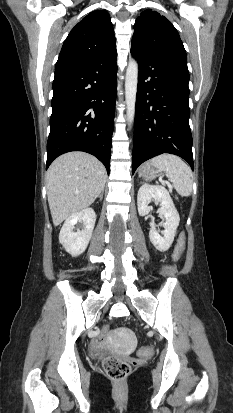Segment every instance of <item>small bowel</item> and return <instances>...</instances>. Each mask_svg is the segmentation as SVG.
I'll use <instances>...</instances> for the list:
<instances>
[{
    "instance_id": "small-bowel-1",
    "label": "small bowel",
    "mask_w": 233,
    "mask_h": 413,
    "mask_svg": "<svg viewBox=\"0 0 233 413\" xmlns=\"http://www.w3.org/2000/svg\"><path fill=\"white\" fill-rule=\"evenodd\" d=\"M102 340H103V337H100L99 339L95 340V345L100 346L102 344Z\"/></svg>"
}]
</instances>
